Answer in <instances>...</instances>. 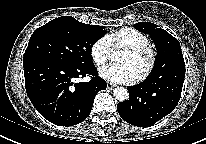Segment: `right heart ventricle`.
<instances>
[{
    "mask_svg": "<svg viewBox=\"0 0 206 144\" xmlns=\"http://www.w3.org/2000/svg\"><path fill=\"white\" fill-rule=\"evenodd\" d=\"M107 39L111 47H128L148 45V38L140 31L125 27L108 34Z\"/></svg>",
    "mask_w": 206,
    "mask_h": 144,
    "instance_id": "obj_1",
    "label": "right heart ventricle"
}]
</instances>
